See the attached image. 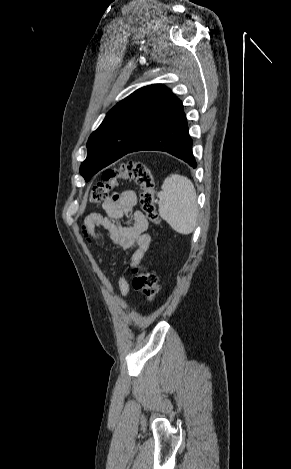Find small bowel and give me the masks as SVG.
<instances>
[{
    "label": "small bowel",
    "instance_id": "obj_1",
    "mask_svg": "<svg viewBox=\"0 0 291 469\" xmlns=\"http://www.w3.org/2000/svg\"><path fill=\"white\" fill-rule=\"evenodd\" d=\"M137 197L131 190L123 191L105 200L102 204L105 215L92 213L84 220V232L90 239L98 240L107 233L111 242L123 251L134 249L131 266L141 262L146 256L151 238L146 232L148 221L142 212L136 209ZM123 219L131 221L129 225L122 223ZM102 229L101 231L98 229ZM118 289L125 296L130 291V283L121 276Z\"/></svg>",
    "mask_w": 291,
    "mask_h": 469
}]
</instances>
